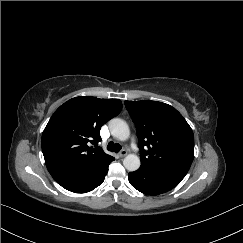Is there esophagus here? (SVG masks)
Here are the masks:
<instances>
[{"mask_svg": "<svg viewBox=\"0 0 243 243\" xmlns=\"http://www.w3.org/2000/svg\"><path fill=\"white\" fill-rule=\"evenodd\" d=\"M118 155L122 158L125 157L127 155V151L126 150H121Z\"/></svg>", "mask_w": 243, "mask_h": 243, "instance_id": "34e87169", "label": "esophagus"}]
</instances>
